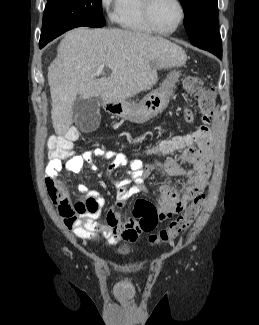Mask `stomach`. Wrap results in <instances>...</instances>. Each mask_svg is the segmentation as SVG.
I'll return each instance as SVG.
<instances>
[{"instance_id":"obj_1","label":"stomach","mask_w":259,"mask_h":325,"mask_svg":"<svg viewBox=\"0 0 259 325\" xmlns=\"http://www.w3.org/2000/svg\"><path fill=\"white\" fill-rule=\"evenodd\" d=\"M179 76V71H171L160 88L150 92L139 103L132 104L126 101H116L106 103L104 109L109 114L127 119L131 122L144 123L167 107Z\"/></svg>"}]
</instances>
